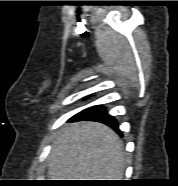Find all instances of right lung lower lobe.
I'll return each instance as SVG.
<instances>
[{
    "label": "right lung lower lobe",
    "mask_w": 178,
    "mask_h": 186,
    "mask_svg": "<svg viewBox=\"0 0 178 186\" xmlns=\"http://www.w3.org/2000/svg\"><path fill=\"white\" fill-rule=\"evenodd\" d=\"M71 121H81V120H93L104 123L111 128L115 129L117 132H120L118 129V125L116 119L109 115L105 107L102 105L89 107L78 114L74 115Z\"/></svg>",
    "instance_id": "98d812e1"
}]
</instances>
